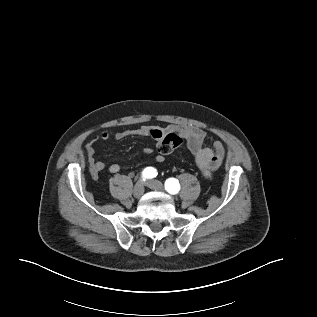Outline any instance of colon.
Listing matches in <instances>:
<instances>
[{
  "label": "colon",
  "mask_w": 317,
  "mask_h": 317,
  "mask_svg": "<svg viewBox=\"0 0 317 317\" xmlns=\"http://www.w3.org/2000/svg\"><path fill=\"white\" fill-rule=\"evenodd\" d=\"M182 142V135L178 131H171L162 138L158 144V150L162 154L167 155L180 148Z\"/></svg>",
  "instance_id": "obj_1"
}]
</instances>
